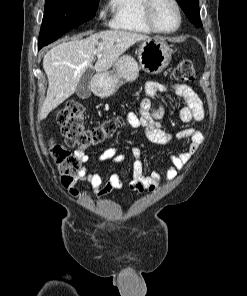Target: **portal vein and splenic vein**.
Instances as JSON below:
<instances>
[{"instance_id":"18ae733b","label":"portal vein and splenic vein","mask_w":247,"mask_h":296,"mask_svg":"<svg viewBox=\"0 0 247 296\" xmlns=\"http://www.w3.org/2000/svg\"><path fill=\"white\" fill-rule=\"evenodd\" d=\"M101 56V54H98V57H100Z\"/></svg>"}]
</instances>
